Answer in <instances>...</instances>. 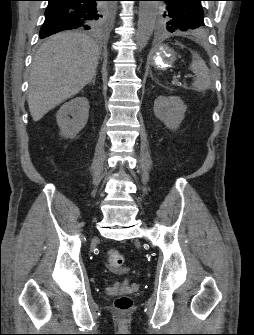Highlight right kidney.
Segmentation results:
<instances>
[{"label": "right kidney", "mask_w": 254, "mask_h": 335, "mask_svg": "<svg viewBox=\"0 0 254 335\" xmlns=\"http://www.w3.org/2000/svg\"><path fill=\"white\" fill-rule=\"evenodd\" d=\"M88 117L89 101L86 97H76L66 102L56 114V121L60 127V135L66 138L76 137L85 127Z\"/></svg>", "instance_id": "ca27d5eb"}]
</instances>
